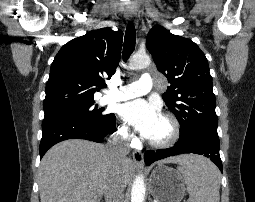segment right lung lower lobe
<instances>
[{"label": "right lung lower lobe", "mask_w": 255, "mask_h": 202, "mask_svg": "<svg viewBox=\"0 0 255 202\" xmlns=\"http://www.w3.org/2000/svg\"><path fill=\"white\" fill-rule=\"evenodd\" d=\"M115 115L105 126H98L78 117L47 118L42 123V139L40 142V157L58 142L67 139H86L102 142L103 138L115 131Z\"/></svg>", "instance_id": "1"}]
</instances>
